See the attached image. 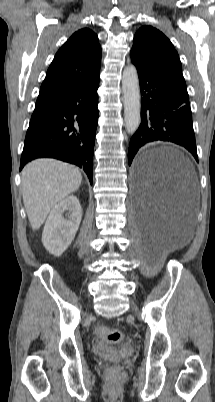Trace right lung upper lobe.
Returning a JSON list of instances; mask_svg holds the SVG:
<instances>
[{"mask_svg":"<svg viewBox=\"0 0 215 402\" xmlns=\"http://www.w3.org/2000/svg\"><path fill=\"white\" fill-rule=\"evenodd\" d=\"M101 47L88 28L75 32L58 50L47 70L36 104L56 99L95 80L100 73Z\"/></svg>","mask_w":215,"mask_h":402,"instance_id":"1","label":"right lung upper lobe"}]
</instances>
